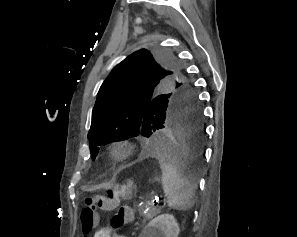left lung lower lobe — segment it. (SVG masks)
<instances>
[{
	"label": "left lung lower lobe",
	"instance_id": "left-lung-lower-lobe-1",
	"mask_svg": "<svg viewBox=\"0 0 297 237\" xmlns=\"http://www.w3.org/2000/svg\"><path fill=\"white\" fill-rule=\"evenodd\" d=\"M205 134L200 106L191 100H180L161 119L159 128L140 153L142 156H164L195 169L202 160Z\"/></svg>",
	"mask_w": 297,
	"mask_h": 237
}]
</instances>
